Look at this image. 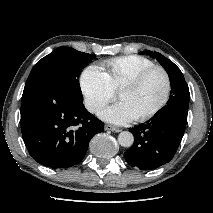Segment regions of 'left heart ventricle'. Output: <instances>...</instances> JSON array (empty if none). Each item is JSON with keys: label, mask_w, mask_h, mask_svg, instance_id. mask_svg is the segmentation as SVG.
<instances>
[{"label": "left heart ventricle", "mask_w": 213, "mask_h": 213, "mask_svg": "<svg viewBox=\"0 0 213 213\" xmlns=\"http://www.w3.org/2000/svg\"><path fill=\"white\" fill-rule=\"evenodd\" d=\"M165 88V78L157 71L148 75L138 86L122 91L119 99L128 105L135 117H138L161 101Z\"/></svg>", "instance_id": "obj_1"}]
</instances>
